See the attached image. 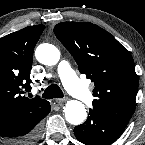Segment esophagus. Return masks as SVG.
I'll return each instance as SVG.
<instances>
[{
    "mask_svg": "<svg viewBox=\"0 0 145 145\" xmlns=\"http://www.w3.org/2000/svg\"><path fill=\"white\" fill-rule=\"evenodd\" d=\"M66 100H67V98H57V99H56V102L59 103V104H62V103H64Z\"/></svg>",
    "mask_w": 145,
    "mask_h": 145,
    "instance_id": "1",
    "label": "esophagus"
}]
</instances>
